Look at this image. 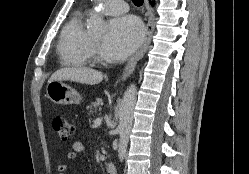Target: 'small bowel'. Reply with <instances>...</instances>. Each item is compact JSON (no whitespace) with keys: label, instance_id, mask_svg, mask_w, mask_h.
Listing matches in <instances>:
<instances>
[{"label":"small bowel","instance_id":"c3829d8e","mask_svg":"<svg viewBox=\"0 0 249 174\" xmlns=\"http://www.w3.org/2000/svg\"><path fill=\"white\" fill-rule=\"evenodd\" d=\"M85 150L84 144L80 141L73 143L71 151L67 153V158L70 160L76 159L79 154H82ZM59 174H66L68 166L66 164H60L57 167Z\"/></svg>","mask_w":249,"mask_h":174}]
</instances>
